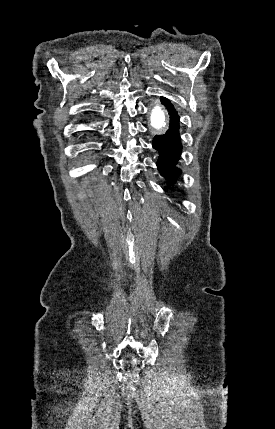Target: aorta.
Listing matches in <instances>:
<instances>
[{"label": "aorta", "instance_id": "762f6f07", "mask_svg": "<svg viewBox=\"0 0 275 429\" xmlns=\"http://www.w3.org/2000/svg\"><path fill=\"white\" fill-rule=\"evenodd\" d=\"M149 120L151 126L156 130H163L166 127L168 122V112L160 102H155L151 105L149 110Z\"/></svg>", "mask_w": 275, "mask_h": 429}]
</instances>
